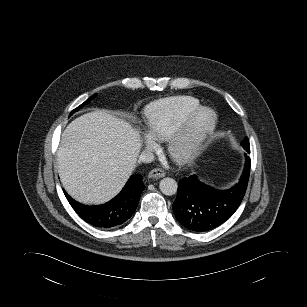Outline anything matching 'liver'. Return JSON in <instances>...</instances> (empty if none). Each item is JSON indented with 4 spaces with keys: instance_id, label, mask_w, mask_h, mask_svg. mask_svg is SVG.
I'll return each mask as SVG.
<instances>
[{
    "instance_id": "liver-1",
    "label": "liver",
    "mask_w": 307,
    "mask_h": 307,
    "mask_svg": "<svg viewBox=\"0 0 307 307\" xmlns=\"http://www.w3.org/2000/svg\"><path fill=\"white\" fill-rule=\"evenodd\" d=\"M139 132L106 111L86 113L64 130L57 167L66 192L78 202H107L125 185L141 149Z\"/></svg>"
}]
</instances>
